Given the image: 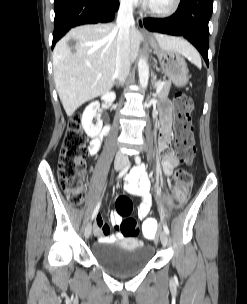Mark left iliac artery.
Here are the masks:
<instances>
[{
  "mask_svg": "<svg viewBox=\"0 0 247 304\" xmlns=\"http://www.w3.org/2000/svg\"><path fill=\"white\" fill-rule=\"evenodd\" d=\"M136 164L137 165H140L141 164V159L140 157H136ZM163 228H164V231L166 232L167 235H169V228L166 224H163Z\"/></svg>",
  "mask_w": 247,
  "mask_h": 304,
  "instance_id": "obj_1",
  "label": "left iliac artery"
}]
</instances>
